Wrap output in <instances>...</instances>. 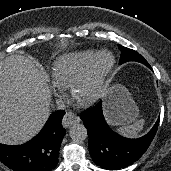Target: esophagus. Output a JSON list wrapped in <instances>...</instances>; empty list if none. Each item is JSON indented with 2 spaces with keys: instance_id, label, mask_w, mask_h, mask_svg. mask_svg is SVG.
I'll return each mask as SVG.
<instances>
[{
  "instance_id": "34e87169",
  "label": "esophagus",
  "mask_w": 171,
  "mask_h": 171,
  "mask_svg": "<svg viewBox=\"0 0 171 171\" xmlns=\"http://www.w3.org/2000/svg\"><path fill=\"white\" fill-rule=\"evenodd\" d=\"M80 121V118L74 114L71 111L66 112L63 120H62V124L65 128H69L72 125L78 123Z\"/></svg>"
}]
</instances>
